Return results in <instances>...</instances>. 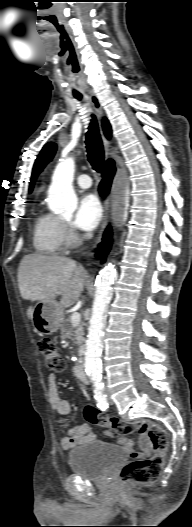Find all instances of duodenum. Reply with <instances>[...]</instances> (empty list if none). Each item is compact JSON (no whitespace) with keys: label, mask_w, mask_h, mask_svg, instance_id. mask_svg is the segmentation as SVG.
I'll return each instance as SVG.
<instances>
[{"label":"duodenum","mask_w":192,"mask_h":527,"mask_svg":"<svg viewBox=\"0 0 192 527\" xmlns=\"http://www.w3.org/2000/svg\"><path fill=\"white\" fill-rule=\"evenodd\" d=\"M75 372H76V375L78 377V379L83 382V383H88L89 380H88V377L85 373V368H84V365L83 363H78L76 368H75Z\"/></svg>","instance_id":"410a0bca"}]
</instances>
